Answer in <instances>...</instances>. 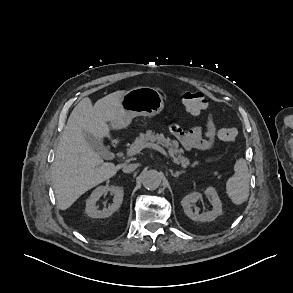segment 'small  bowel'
Instances as JSON below:
<instances>
[{
	"mask_svg": "<svg viewBox=\"0 0 293 293\" xmlns=\"http://www.w3.org/2000/svg\"><path fill=\"white\" fill-rule=\"evenodd\" d=\"M170 131L186 151L209 150L214 146L216 139V127L212 115L207 117L204 125H196L188 132L177 123L170 125Z\"/></svg>",
	"mask_w": 293,
	"mask_h": 293,
	"instance_id": "c3829d8e",
	"label": "small bowel"
}]
</instances>
